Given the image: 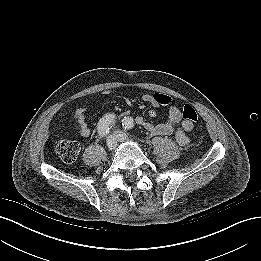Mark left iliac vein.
Segmentation results:
<instances>
[{
  "mask_svg": "<svg viewBox=\"0 0 261 261\" xmlns=\"http://www.w3.org/2000/svg\"><path fill=\"white\" fill-rule=\"evenodd\" d=\"M115 136L119 142H124L129 140L127 134L119 130L115 131Z\"/></svg>",
  "mask_w": 261,
  "mask_h": 261,
  "instance_id": "4c4485c4",
  "label": "left iliac vein"
}]
</instances>
